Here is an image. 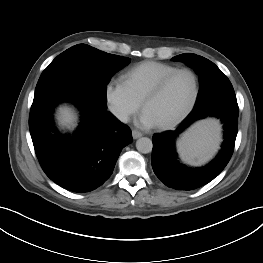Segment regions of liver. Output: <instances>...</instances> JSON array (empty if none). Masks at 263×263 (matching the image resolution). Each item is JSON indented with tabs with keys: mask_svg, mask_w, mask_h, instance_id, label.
<instances>
[{
	"mask_svg": "<svg viewBox=\"0 0 263 263\" xmlns=\"http://www.w3.org/2000/svg\"><path fill=\"white\" fill-rule=\"evenodd\" d=\"M58 120L62 126H67L68 128L75 125L76 116L74 112L68 107H62L59 109Z\"/></svg>",
	"mask_w": 263,
	"mask_h": 263,
	"instance_id": "obj_1",
	"label": "liver"
}]
</instances>
